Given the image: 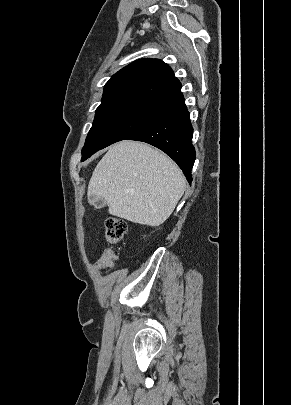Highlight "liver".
Returning a JSON list of instances; mask_svg holds the SVG:
<instances>
[{"label": "liver", "mask_w": 291, "mask_h": 405, "mask_svg": "<svg viewBox=\"0 0 291 405\" xmlns=\"http://www.w3.org/2000/svg\"><path fill=\"white\" fill-rule=\"evenodd\" d=\"M185 185L183 173L163 152L124 140L97 164L87 196L104 200L113 216L156 227L169 218Z\"/></svg>", "instance_id": "6515ba94"}]
</instances>
